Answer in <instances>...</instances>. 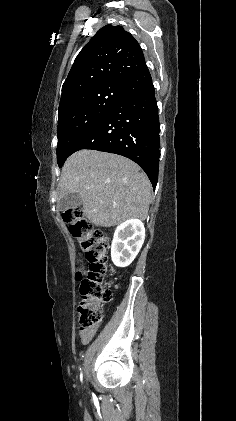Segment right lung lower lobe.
Instances as JSON below:
<instances>
[{"instance_id":"obj_1","label":"right lung lower lobe","mask_w":236,"mask_h":421,"mask_svg":"<svg viewBox=\"0 0 236 421\" xmlns=\"http://www.w3.org/2000/svg\"><path fill=\"white\" fill-rule=\"evenodd\" d=\"M124 96L77 142L73 153L93 149L136 162L155 187L160 157L159 116L155 89L147 66L120 82Z\"/></svg>"}]
</instances>
